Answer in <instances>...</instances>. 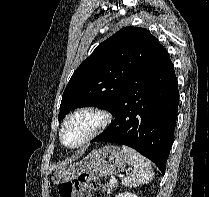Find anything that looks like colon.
Returning <instances> with one entry per match:
<instances>
[{"label":"colon","mask_w":209,"mask_h":197,"mask_svg":"<svg viewBox=\"0 0 209 197\" xmlns=\"http://www.w3.org/2000/svg\"><path fill=\"white\" fill-rule=\"evenodd\" d=\"M99 187L96 177L88 173H80L74 181L62 183L59 186L60 197H89V195Z\"/></svg>","instance_id":"obj_1"}]
</instances>
